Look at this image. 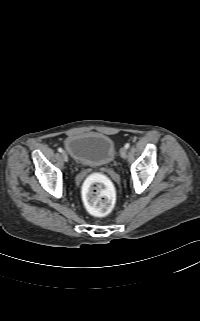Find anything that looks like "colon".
Returning <instances> with one entry per match:
<instances>
[{"mask_svg": "<svg viewBox=\"0 0 200 321\" xmlns=\"http://www.w3.org/2000/svg\"><path fill=\"white\" fill-rule=\"evenodd\" d=\"M84 200L89 212L95 216L109 214L115 204V191L101 175L91 176L84 187Z\"/></svg>", "mask_w": 200, "mask_h": 321, "instance_id": "5ec220e1", "label": "colon"}]
</instances>
